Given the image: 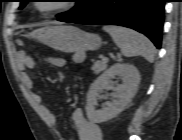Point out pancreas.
<instances>
[{"mask_svg": "<svg viewBox=\"0 0 182 140\" xmlns=\"http://www.w3.org/2000/svg\"><path fill=\"white\" fill-rule=\"evenodd\" d=\"M107 68V62L104 61H95L93 66L91 67V70L95 73L98 74L102 71H104Z\"/></svg>", "mask_w": 182, "mask_h": 140, "instance_id": "obj_1", "label": "pancreas"}]
</instances>
